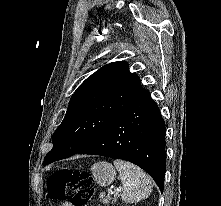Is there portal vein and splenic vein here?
Listing matches in <instances>:
<instances>
[{
    "mask_svg": "<svg viewBox=\"0 0 221 206\" xmlns=\"http://www.w3.org/2000/svg\"><path fill=\"white\" fill-rule=\"evenodd\" d=\"M115 192V189H113V188H110L109 190H108V193H110V194H113Z\"/></svg>",
    "mask_w": 221,
    "mask_h": 206,
    "instance_id": "18ae733b",
    "label": "portal vein and splenic vein"
}]
</instances>
